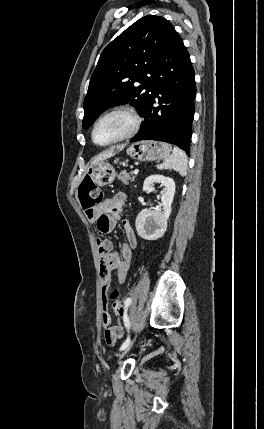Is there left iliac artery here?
I'll list each match as a JSON object with an SVG mask.
<instances>
[{"mask_svg": "<svg viewBox=\"0 0 264 429\" xmlns=\"http://www.w3.org/2000/svg\"><path fill=\"white\" fill-rule=\"evenodd\" d=\"M132 300L131 298H127L125 300V305L128 307L131 304ZM124 321V325L127 328V330L129 331L130 329V320L129 317L127 315L124 316L123 318ZM130 343V335H128L127 339L122 343L121 347H120V351L124 350Z\"/></svg>", "mask_w": 264, "mask_h": 429, "instance_id": "obj_1", "label": "left iliac artery"}]
</instances>
